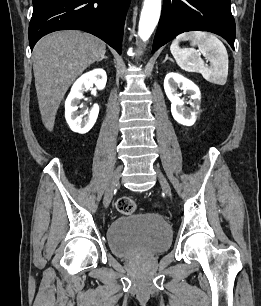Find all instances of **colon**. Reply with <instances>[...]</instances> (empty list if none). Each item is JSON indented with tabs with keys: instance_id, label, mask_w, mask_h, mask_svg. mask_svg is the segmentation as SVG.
I'll return each instance as SVG.
<instances>
[{
	"instance_id": "5ec220e1",
	"label": "colon",
	"mask_w": 261,
	"mask_h": 306,
	"mask_svg": "<svg viewBox=\"0 0 261 306\" xmlns=\"http://www.w3.org/2000/svg\"><path fill=\"white\" fill-rule=\"evenodd\" d=\"M117 208L124 215H132L137 210L135 202L129 197H121L117 202Z\"/></svg>"
}]
</instances>
